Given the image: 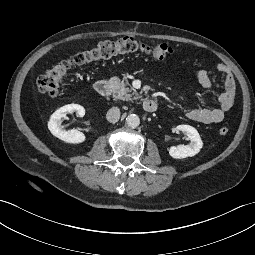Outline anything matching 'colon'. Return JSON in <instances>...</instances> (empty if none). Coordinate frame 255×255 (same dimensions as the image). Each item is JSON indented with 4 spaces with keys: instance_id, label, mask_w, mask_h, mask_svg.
Listing matches in <instances>:
<instances>
[{
    "instance_id": "1",
    "label": "colon",
    "mask_w": 255,
    "mask_h": 255,
    "mask_svg": "<svg viewBox=\"0 0 255 255\" xmlns=\"http://www.w3.org/2000/svg\"><path fill=\"white\" fill-rule=\"evenodd\" d=\"M132 52H140L158 60L169 59L174 54L173 49L167 44L155 43L149 45L131 37H125L117 41H102L50 67L38 78V89L41 93L57 97L61 91L63 81L74 67ZM228 131V128L223 126L219 129V134L226 135Z\"/></svg>"
}]
</instances>
